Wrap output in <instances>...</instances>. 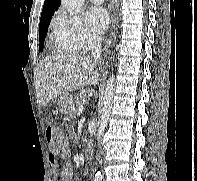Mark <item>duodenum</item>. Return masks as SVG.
<instances>
[{
    "mask_svg": "<svg viewBox=\"0 0 197 181\" xmlns=\"http://www.w3.org/2000/svg\"><path fill=\"white\" fill-rule=\"evenodd\" d=\"M92 155H93L92 147L91 146H87L86 149H85V157L87 159H91Z\"/></svg>",
    "mask_w": 197,
    "mask_h": 181,
    "instance_id": "duodenum-1",
    "label": "duodenum"
}]
</instances>
